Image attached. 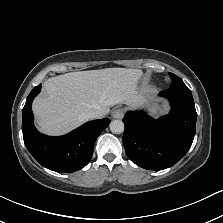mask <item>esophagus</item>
<instances>
[{
    "label": "esophagus",
    "mask_w": 223,
    "mask_h": 223,
    "mask_svg": "<svg viewBox=\"0 0 223 223\" xmlns=\"http://www.w3.org/2000/svg\"><path fill=\"white\" fill-rule=\"evenodd\" d=\"M124 114L125 111L123 108H117L112 111L111 116L116 119H121L123 118Z\"/></svg>",
    "instance_id": "1"
}]
</instances>
